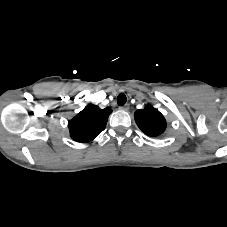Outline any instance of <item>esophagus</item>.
I'll return each mask as SVG.
<instances>
[{"label":"esophagus","mask_w":227,"mask_h":227,"mask_svg":"<svg viewBox=\"0 0 227 227\" xmlns=\"http://www.w3.org/2000/svg\"><path fill=\"white\" fill-rule=\"evenodd\" d=\"M119 109L122 111H127L129 109V106L128 105L120 106Z\"/></svg>","instance_id":"obj_1"}]
</instances>
